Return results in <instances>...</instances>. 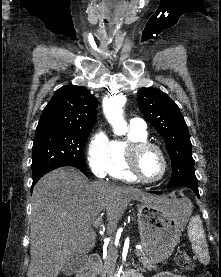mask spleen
Here are the masks:
<instances>
[{
  "label": "spleen",
  "mask_w": 221,
  "mask_h": 277,
  "mask_svg": "<svg viewBox=\"0 0 221 277\" xmlns=\"http://www.w3.org/2000/svg\"><path fill=\"white\" fill-rule=\"evenodd\" d=\"M187 232L194 254L201 263L208 264L210 260L208 245L202 226V221L199 216H195L190 219Z\"/></svg>",
  "instance_id": "spleen-1"
}]
</instances>
